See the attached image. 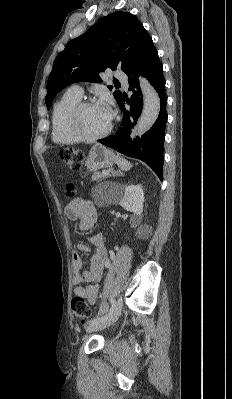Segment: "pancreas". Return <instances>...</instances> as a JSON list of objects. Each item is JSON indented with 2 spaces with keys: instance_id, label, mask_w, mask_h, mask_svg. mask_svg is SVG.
Listing matches in <instances>:
<instances>
[{
  "instance_id": "obj_1",
  "label": "pancreas",
  "mask_w": 232,
  "mask_h": 399,
  "mask_svg": "<svg viewBox=\"0 0 232 399\" xmlns=\"http://www.w3.org/2000/svg\"><path fill=\"white\" fill-rule=\"evenodd\" d=\"M104 176L105 174H101V172H94L92 176V182H100V180H103Z\"/></svg>"
}]
</instances>
